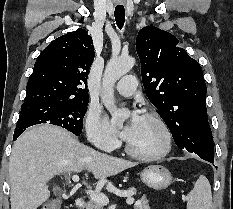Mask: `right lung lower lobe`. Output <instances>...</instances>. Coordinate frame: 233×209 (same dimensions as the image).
Listing matches in <instances>:
<instances>
[{
    "label": "right lung lower lobe",
    "instance_id": "right-lung-lower-lobe-1",
    "mask_svg": "<svg viewBox=\"0 0 233 209\" xmlns=\"http://www.w3.org/2000/svg\"><path fill=\"white\" fill-rule=\"evenodd\" d=\"M22 132H14L13 140H16Z\"/></svg>",
    "mask_w": 233,
    "mask_h": 209
}]
</instances>
